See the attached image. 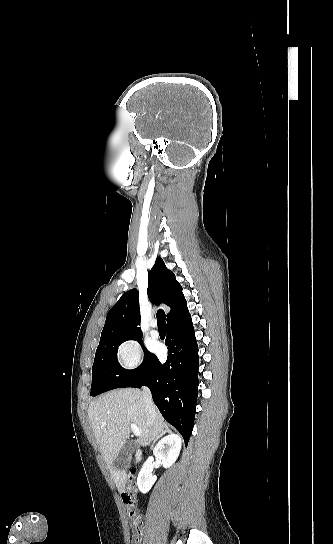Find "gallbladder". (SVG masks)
<instances>
[{"label": "gallbladder", "mask_w": 333, "mask_h": 544, "mask_svg": "<svg viewBox=\"0 0 333 544\" xmlns=\"http://www.w3.org/2000/svg\"><path fill=\"white\" fill-rule=\"evenodd\" d=\"M136 449V444L132 440L126 441L118 455L114 459V466L120 469H126L129 465V461L132 453Z\"/></svg>", "instance_id": "1"}]
</instances>
